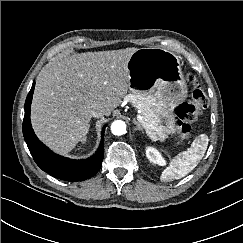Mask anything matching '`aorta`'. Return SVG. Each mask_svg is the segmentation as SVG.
<instances>
[{
    "label": "aorta",
    "instance_id": "762f6f07",
    "mask_svg": "<svg viewBox=\"0 0 243 243\" xmlns=\"http://www.w3.org/2000/svg\"><path fill=\"white\" fill-rule=\"evenodd\" d=\"M111 131L114 135L120 136L126 133V124L121 120H116L111 125Z\"/></svg>",
    "mask_w": 243,
    "mask_h": 243
}]
</instances>
